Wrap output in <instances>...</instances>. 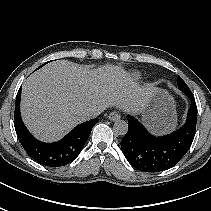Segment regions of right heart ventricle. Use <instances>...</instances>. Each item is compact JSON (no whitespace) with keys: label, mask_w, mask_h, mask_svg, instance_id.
Instances as JSON below:
<instances>
[{"label":"right heart ventricle","mask_w":211,"mask_h":211,"mask_svg":"<svg viewBox=\"0 0 211 211\" xmlns=\"http://www.w3.org/2000/svg\"><path fill=\"white\" fill-rule=\"evenodd\" d=\"M138 77H139V75L135 74V78H138Z\"/></svg>","instance_id":"e07e8e85"}]
</instances>
